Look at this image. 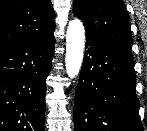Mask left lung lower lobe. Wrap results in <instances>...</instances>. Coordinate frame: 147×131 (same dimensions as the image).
<instances>
[{
	"mask_svg": "<svg viewBox=\"0 0 147 131\" xmlns=\"http://www.w3.org/2000/svg\"><path fill=\"white\" fill-rule=\"evenodd\" d=\"M135 87L132 55L86 36L74 101L75 131H143Z\"/></svg>",
	"mask_w": 147,
	"mask_h": 131,
	"instance_id": "1",
	"label": "left lung lower lobe"
}]
</instances>
